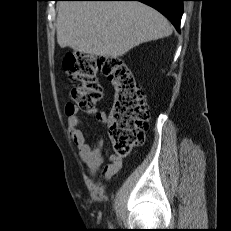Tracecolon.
<instances>
[{"label":"colon","instance_id":"colon-1","mask_svg":"<svg viewBox=\"0 0 231 231\" xmlns=\"http://www.w3.org/2000/svg\"><path fill=\"white\" fill-rule=\"evenodd\" d=\"M63 67L78 82L71 88L70 95L75 107L82 110H92L101 100L99 73L111 82L114 94L108 134L118 157L126 156L133 146L143 142L149 127L148 104L125 62L119 58L98 60L89 55L70 53L64 57Z\"/></svg>","mask_w":231,"mask_h":231}]
</instances>
